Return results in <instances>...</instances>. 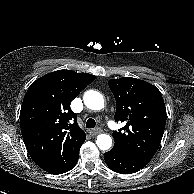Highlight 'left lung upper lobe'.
Segmentation results:
<instances>
[{
	"label": "left lung upper lobe",
	"instance_id": "left-lung-upper-lobe-1",
	"mask_svg": "<svg viewBox=\"0 0 194 194\" xmlns=\"http://www.w3.org/2000/svg\"><path fill=\"white\" fill-rule=\"evenodd\" d=\"M108 84L117 104L115 121L126 124L113 132V148L148 163L160 145L166 124L160 91L132 77L110 79Z\"/></svg>",
	"mask_w": 194,
	"mask_h": 194
}]
</instances>
